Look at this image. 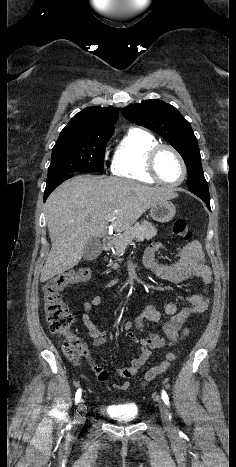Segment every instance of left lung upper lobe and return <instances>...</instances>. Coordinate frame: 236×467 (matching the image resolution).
Segmentation results:
<instances>
[{"label": "left lung upper lobe", "instance_id": "left-lung-upper-lobe-1", "mask_svg": "<svg viewBox=\"0 0 236 467\" xmlns=\"http://www.w3.org/2000/svg\"><path fill=\"white\" fill-rule=\"evenodd\" d=\"M132 123L144 126L162 136L182 156L188 170V188H206L197 139L190 123L172 105L160 100H147L122 109Z\"/></svg>", "mask_w": 236, "mask_h": 467}]
</instances>
